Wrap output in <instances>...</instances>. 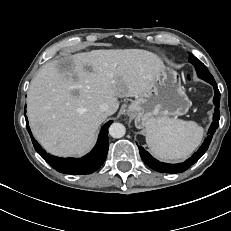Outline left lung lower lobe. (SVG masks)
Masks as SVG:
<instances>
[{"label": "left lung lower lobe", "instance_id": "0a47b994", "mask_svg": "<svg viewBox=\"0 0 231 231\" xmlns=\"http://www.w3.org/2000/svg\"><path fill=\"white\" fill-rule=\"evenodd\" d=\"M209 83L214 87L215 90V95L213 99L215 109L213 115V122L209 128L208 135L204 140L203 144L201 145V147L199 148V150L196 153H194L192 157H190L183 163L167 164L154 159L146 150L143 149V147L140 146L139 147L140 155L147 166H149L153 170L162 173H180L190 168V166L193 165L196 161H198L200 157L206 152V150L208 149L211 143L213 135L219 126V119H220V112H219L220 92L217 88L215 81H210Z\"/></svg>", "mask_w": 231, "mask_h": 231}]
</instances>
